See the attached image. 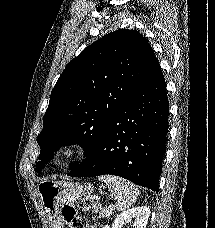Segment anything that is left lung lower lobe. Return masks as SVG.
I'll return each mask as SVG.
<instances>
[{
  "label": "left lung lower lobe",
  "mask_w": 215,
  "mask_h": 228,
  "mask_svg": "<svg viewBox=\"0 0 215 228\" xmlns=\"http://www.w3.org/2000/svg\"><path fill=\"white\" fill-rule=\"evenodd\" d=\"M168 116L166 83L155 58L142 82L115 113L87 157L67 175H117L158 193Z\"/></svg>",
  "instance_id": "1"
}]
</instances>
